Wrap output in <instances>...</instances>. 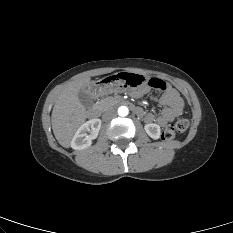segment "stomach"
<instances>
[{
  "label": "stomach",
  "instance_id": "1",
  "mask_svg": "<svg viewBox=\"0 0 233 233\" xmlns=\"http://www.w3.org/2000/svg\"><path fill=\"white\" fill-rule=\"evenodd\" d=\"M149 78L144 74L124 72L120 76L117 74H109L105 77L104 82L93 83L96 96L106 95L113 91L124 89H132L136 85L146 84Z\"/></svg>",
  "mask_w": 233,
  "mask_h": 233
}]
</instances>
